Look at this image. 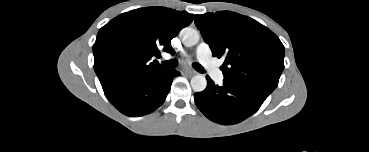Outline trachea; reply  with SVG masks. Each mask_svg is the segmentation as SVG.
I'll return each instance as SVG.
<instances>
[{"label":"trachea","mask_w":369,"mask_h":152,"mask_svg":"<svg viewBox=\"0 0 369 152\" xmlns=\"http://www.w3.org/2000/svg\"><path fill=\"white\" fill-rule=\"evenodd\" d=\"M162 64H163L165 67H167V68H175V67H177V65H178V61H177V60H168V61H164V62H162ZM192 66H193V68H194L196 71H198V72H200V73H204V72H205L204 68H203L199 63L194 62V63L192 64Z\"/></svg>","instance_id":"1"}]
</instances>
